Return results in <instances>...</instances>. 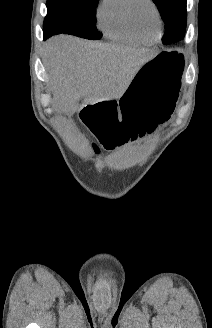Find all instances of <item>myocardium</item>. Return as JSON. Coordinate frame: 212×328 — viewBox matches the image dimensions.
Instances as JSON below:
<instances>
[{"instance_id": "myocardium-1", "label": "myocardium", "mask_w": 212, "mask_h": 328, "mask_svg": "<svg viewBox=\"0 0 212 328\" xmlns=\"http://www.w3.org/2000/svg\"><path fill=\"white\" fill-rule=\"evenodd\" d=\"M142 2L147 3L148 5H150L151 8L153 9L155 15H156L157 24H158L156 35L158 37L161 34V31H162L163 20H162L160 10H159L158 6L156 5V3L153 0H131L130 6H129L130 22H131L132 26L134 27V29L137 31V33L142 34V32L144 30L140 26V24L138 22V19L136 17V8H137L138 4L142 3Z\"/></svg>"}]
</instances>
